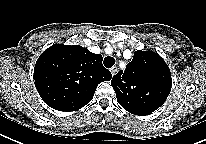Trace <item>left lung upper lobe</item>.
<instances>
[{"instance_id": "1", "label": "left lung upper lobe", "mask_w": 206, "mask_h": 144, "mask_svg": "<svg viewBox=\"0 0 206 144\" xmlns=\"http://www.w3.org/2000/svg\"><path fill=\"white\" fill-rule=\"evenodd\" d=\"M172 78L165 61L152 51L137 50L125 71L113 76L111 85L118 103L135 115H150L166 101Z\"/></svg>"}]
</instances>
